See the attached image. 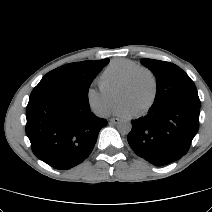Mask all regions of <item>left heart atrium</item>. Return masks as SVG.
I'll return each mask as SVG.
<instances>
[{"instance_id":"39dd6f15","label":"left heart atrium","mask_w":212,"mask_h":212,"mask_svg":"<svg viewBox=\"0 0 212 212\" xmlns=\"http://www.w3.org/2000/svg\"><path fill=\"white\" fill-rule=\"evenodd\" d=\"M114 113L122 117H130L134 114V110L127 103H119L114 108Z\"/></svg>"}]
</instances>
